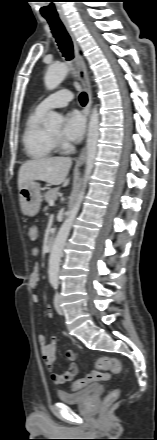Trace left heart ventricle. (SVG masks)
<instances>
[{"mask_svg": "<svg viewBox=\"0 0 157 440\" xmlns=\"http://www.w3.org/2000/svg\"><path fill=\"white\" fill-rule=\"evenodd\" d=\"M51 133L55 136H59L60 135V130H53L51 131Z\"/></svg>", "mask_w": 157, "mask_h": 440, "instance_id": "b2bd125f", "label": "left heart ventricle"}]
</instances>
